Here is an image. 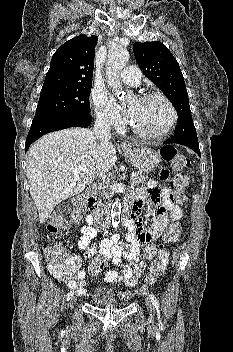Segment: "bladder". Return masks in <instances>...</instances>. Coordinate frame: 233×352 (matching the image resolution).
<instances>
[{
    "label": "bladder",
    "instance_id": "31cf9c89",
    "mask_svg": "<svg viewBox=\"0 0 233 352\" xmlns=\"http://www.w3.org/2000/svg\"><path fill=\"white\" fill-rule=\"evenodd\" d=\"M92 303L97 307H122L124 305V301L116 295L115 291L107 287H100L95 291Z\"/></svg>",
    "mask_w": 233,
    "mask_h": 352
}]
</instances>
